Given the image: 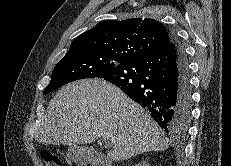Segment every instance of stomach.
Here are the masks:
<instances>
[{
  "label": "stomach",
  "instance_id": "obj_1",
  "mask_svg": "<svg viewBox=\"0 0 231 166\" xmlns=\"http://www.w3.org/2000/svg\"><path fill=\"white\" fill-rule=\"evenodd\" d=\"M67 157L78 164H84L88 161L86 150L83 147L78 146L69 147Z\"/></svg>",
  "mask_w": 231,
  "mask_h": 166
}]
</instances>
